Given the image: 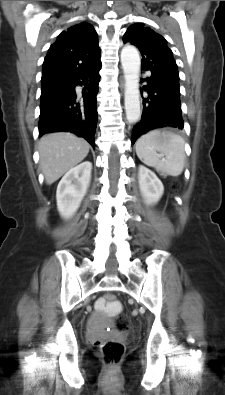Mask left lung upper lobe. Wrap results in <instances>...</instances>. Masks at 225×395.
I'll return each mask as SVG.
<instances>
[{
	"label": "left lung upper lobe",
	"mask_w": 225,
	"mask_h": 395,
	"mask_svg": "<svg viewBox=\"0 0 225 395\" xmlns=\"http://www.w3.org/2000/svg\"><path fill=\"white\" fill-rule=\"evenodd\" d=\"M124 43L135 45L142 55V67L179 78L178 68L166 39L142 23L133 24L123 36Z\"/></svg>",
	"instance_id": "obj_1"
}]
</instances>
